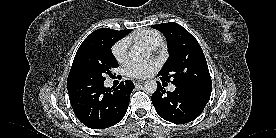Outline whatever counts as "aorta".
Returning <instances> with one entry per match:
<instances>
[{"mask_svg": "<svg viewBox=\"0 0 276 138\" xmlns=\"http://www.w3.org/2000/svg\"><path fill=\"white\" fill-rule=\"evenodd\" d=\"M129 56L134 60V61H141L147 56H149V53L144 51L141 48H132L131 51L129 52ZM144 90L147 93L153 94L157 90V83L155 80H147L144 83Z\"/></svg>", "mask_w": 276, "mask_h": 138, "instance_id": "obj_1", "label": "aorta"}]
</instances>
